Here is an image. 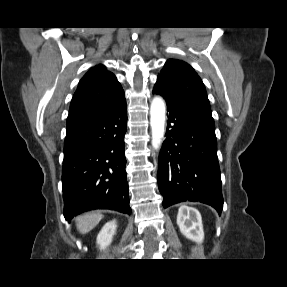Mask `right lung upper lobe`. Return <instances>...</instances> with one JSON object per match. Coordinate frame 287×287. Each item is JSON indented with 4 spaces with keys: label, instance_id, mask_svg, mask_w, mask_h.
I'll use <instances>...</instances> for the list:
<instances>
[{
    "label": "right lung upper lobe",
    "instance_id": "obj_1",
    "mask_svg": "<svg viewBox=\"0 0 287 287\" xmlns=\"http://www.w3.org/2000/svg\"><path fill=\"white\" fill-rule=\"evenodd\" d=\"M124 100V91L115 75L97 65L80 80L66 123L111 112Z\"/></svg>",
    "mask_w": 287,
    "mask_h": 287
}]
</instances>
